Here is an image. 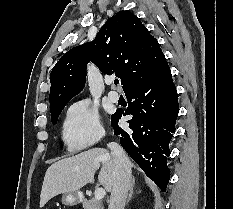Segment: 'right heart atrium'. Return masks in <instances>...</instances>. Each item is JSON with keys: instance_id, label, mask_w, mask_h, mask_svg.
I'll list each match as a JSON object with an SVG mask.
<instances>
[{"instance_id": "right-heart-atrium-1", "label": "right heart atrium", "mask_w": 233, "mask_h": 209, "mask_svg": "<svg viewBox=\"0 0 233 209\" xmlns=\"http://www.w3.org/2000/svg\"><path fill=\"white\" fill-rule=\"evenodd\" d=\"M104 136L97 108L89 100L71 104L63 124V138L71 150H82L97 144Z\"/></svg>"}]
</instances>
